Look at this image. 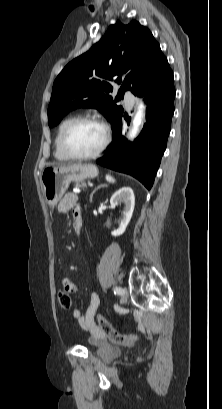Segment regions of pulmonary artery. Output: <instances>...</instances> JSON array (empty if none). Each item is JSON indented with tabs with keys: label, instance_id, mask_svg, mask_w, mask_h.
I'll return each mask as SVG.
<instances>
[{
	"label": "pulmonary artery",
	"instance_id": "1",
	"mask_svg": "<svg viewBox=\"0 0 222 409\" xmlns=\"http://www.w3.org/2000/svg\"><path fill=\"white\" fill-rule=\"evenodd\" d=\"M125 102L128 107H131L134 103V97L129 92H125Z\"/></svg>",
	"mask_w": 222,
	"mask_h": 409
}]
</instances>
